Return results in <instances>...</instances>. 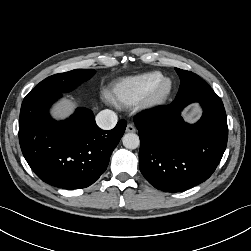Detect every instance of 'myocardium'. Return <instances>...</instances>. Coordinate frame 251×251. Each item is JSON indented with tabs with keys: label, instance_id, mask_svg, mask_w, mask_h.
Wrapping results in <instances>:
<instances>
[{
	"label": "myocardium",
	"instance_id": "1",
	"mask_svg": "<svg viewBox=\"0 0 251 251\" xmlns=\"http://www.w3.org/2000/svg\"><path fill=\"white\" fill-rule=\"evenodd\" d=\"M173 90V83L169 78H163L147 93L140 102L143 109H156L163 106Z\"/></svg>",
	"mask_w": 251,
	"mask_h": 251
}]
</instances>
